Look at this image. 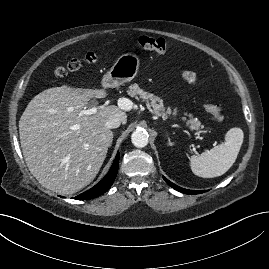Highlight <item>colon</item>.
Wrapping results in <instances>:
<instances>
[{"instance_id":"1","label":"colon","mask_w":269,"mask_h":269,"mask_svg":"<svg viewBox=\"0 0 269 269\" xmlns=\"http://www.w3.org/2000/svg\"><path fill=\"white\" fill-rule=\"evenodd\" d=\"M139 46L141 49L157 54H163L166 51V42L163 38L142 36L139 39ZM98 60L95 53H87L83 58H73L68 61L65 66H59L55 70V76L57 78H63L70 72L78 71L83 64H94ZM205 111L209 114L210 119L214 123H220L223 121V113L221 108L212 103L206 102L204 104Z\"/></svg>"}]
</instances>
